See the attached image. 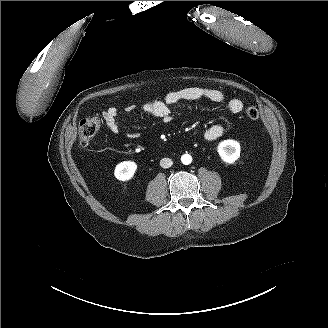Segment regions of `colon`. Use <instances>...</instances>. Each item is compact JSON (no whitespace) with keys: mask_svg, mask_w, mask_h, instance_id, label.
Returning a JSON list of instances; mask_svg holds the SVG:
<instances>
[{"mask_svg":"<svg viewBox=\"0 0 328 328\" xmlns=\"http://www.w3.org/2000/svg\"><path fill=\"white\" fill-rule=\"evenodd\" d=\"M246 116L250 120L259 118V111L256 107H249ZM100 129V121L97 117L87 116L79 124V142L82 147H87Z\"/></svg>","mask_w":328,"mask_h":328,"instance_id":"colon-1","label":"colon"}]
</instances>
